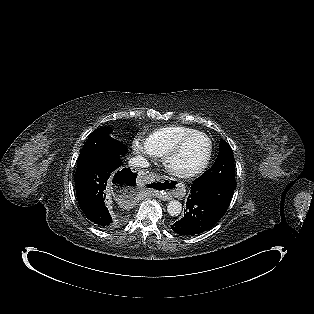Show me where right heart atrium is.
I'll return each instance as SVG.
<instances>
[{
	"mask_svg": "<svg viewBox=\"0 0 314 314\" xmlns=\"http://www.w3.org/2000/svg\"><path fill=\"white\" fill-rule=\"evenodd\" d=\"M133 150L146 158L157 159V156L149 147L147 141L142 136H136L132 141Z\"/></svg>",
	"mask_w": 314,
	"mask_h": 314,
	"instance_id": "right-heart-atrium-1",
	"label": "right heart atrium"
}]
</instances>
